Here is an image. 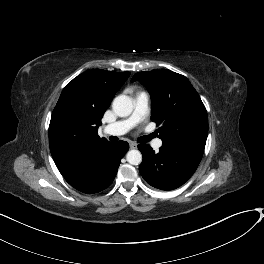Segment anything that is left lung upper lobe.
<instances>
[{
	"mask_svg": "<svg viewBox=\"0 0 264 264\" xmlns=\"http://www.w3.org/2000/svg\"><path fill=\"white\" fill-rule=\"evenodd\" d=\"M132 82L147 87L151 99V119L163 145L189 147L204 152L208 116L204 104L189 80L170 70L136 73Z\"/></svg>",
	"mask_w": 264,
	"mask_h": 264,
	"instance_id": "1",
	"label": "left lung upper lobe"
}]
</instances>
